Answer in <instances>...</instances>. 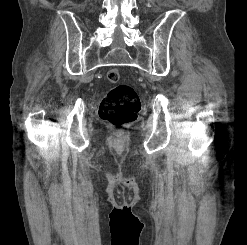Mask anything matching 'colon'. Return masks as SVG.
Instances as JSON below:
<instances>
[{"label": "colon", "instance_id": "1", "mask_svg": "<svg viewBox=\"0 0 247 245\" xmlns=\"http://www.w3.org/2000/svg\"><path fill=\"white\" fill-rule=\"evenodd\" d=\"M107 79L112 84L120 80V72L112 68L107 72ZM141 109L137 92L133 87L119 84L113 87L103 98L99 107L100 118L115 127H122L134 122Z\"/></svg>", "mask_w": 247, "mask_h": 245}]
</instances>
